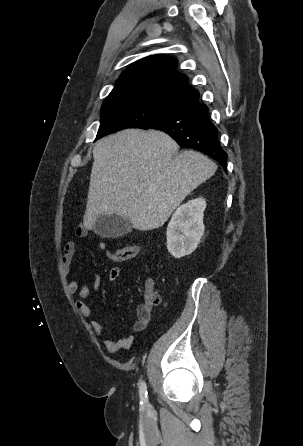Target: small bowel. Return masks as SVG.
Wrapping results in <instances>:
<instances>
[{
  "label": "small bowel",
  "instance_id": "c3829d8e",
  "mask_svg": "<svg viewBox=\"0 0 303 446\" xmlns=\"http://www.w3.org/2000/svg\"><path fill=\"white\" fill-rule=\"evenodd\" d=\"M75 234L77 237H85L87 235V229L85 228L84 225L80 224L76 229ZM98 248L100 250H105L106 249L105 242L100 241L98 243ZM75 249L76 247L73 241L66 242L61 259L63 270L66 275H68L70 271V266L75 254ZM119 275H120V268L118 266L112 267L108 273V281L109 282L115 281L119 277ZM67 288L71 294L75 293L78 294L76 300V308L78 312L85 317H92L93 311L87 304V298L90 293V285L89 284L80 285V283L77 280L69 279L67 281ZM100 288H101V279L99 274L95 273L92 279V289L94 293H98L100 291ZM152 288H153L152 283L146 284L147 292H149ZM135 312H136V321L133 325V330L135 332H140L150 322L152 318L153 307L149 302H144L137 305ZM90 326L97 335L106 338L103 341V346L107 352L110 353L118 352L120 350L127 349L132 345L133 342L132 335H127L118 340H111L108 339L111 332L107 327L103 326L101 323L95 320L90 321Z\"/></svg>",
  "mask_w": 303,
  "mask_h": 446
}]
</instances>
